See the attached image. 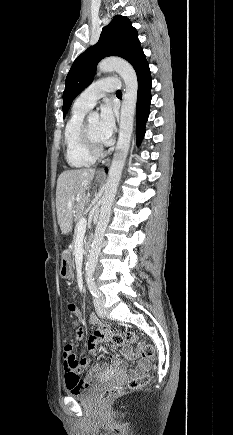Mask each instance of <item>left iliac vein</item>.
<instances>
[{
    "instance_id": "1",
    "label": "left iliac vein",
    "mask_w": 233,
    "mask_h": 435,
    "mask_svg": "<svg viewBox=\"0 0 233 435\" xmlns=\"http://www.w3.org/2000/svg\"><path fill=\"white\" fill-rule=\"evenodd\" d=\"M94 307L99 316L101 317L106 316V310L104 308V300L102 298L98 297L94 299Z\"/></svg>"
}]
</instances>
